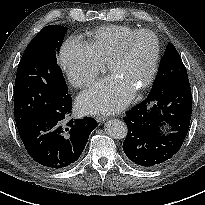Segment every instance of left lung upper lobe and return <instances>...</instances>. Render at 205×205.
I'll return each instance as SVG.
<instances>
[{"instance_id": "obj_1", "label": "left lung upper lobe", "mask_w": 205, "mask_h": 205, "mask_svg": "<svg viewBox=\"0 0 205 205\" xmlns=\"http://www.w3.org/2000/svg\"><path fill=\"white\" fill-rule=\"evenodd\" d=\"M183 77H188L186 68L174 45L169 43L163 59L160 62L158 74L152 89L165 86L172 81Z\"/></svg>"}]
</instances>
